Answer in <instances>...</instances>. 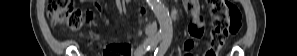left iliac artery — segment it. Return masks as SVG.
Instances as JSON below:
<instances>
[{"label": "left iliac artery", "instance_id": "1", "mask_svg": "<svg viewBox=\"0 0 297 56\" xmlns=\"http://www.w3.org/2000/svg\"><path fill=\"white\" fill-rule=\"evenodd\" d=\"M171 39H172L171 35L169 34L166 35L163 39V42L159 46V48L156 49L154 56H163L171 43Z\"/></svg>", "mask_w": 297, "mask_h": 56}]
</instances>
